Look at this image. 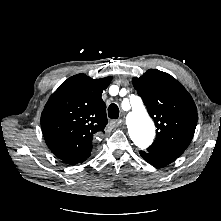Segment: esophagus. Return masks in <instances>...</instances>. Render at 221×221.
Wrapping results in <instances>:
<instances>
[{"instance_id":"obj_1","label":"esophagus","mask_w":221,"mask_h":221,"mask_svg":"<svg viewBox=\"0 0 221 221\" xmlns=\"http://www.w3.org/2000/svg\"><path fill=\"white\" fill-rule=\"evenodd\" d=\"M121 124H122V120H112V121L110 122V125H111L112 127H119Z\"/></svg>"}]
</instances>
